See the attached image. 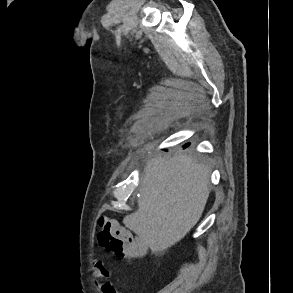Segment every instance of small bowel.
<instances>
[{"label":"small bowel","mask_w":293,"mask_h":293,"mask_svg":"<svg viewBox=\"0 0 293 293\" xmlns=\"http://www.w3.org/2000/svg\"><path fill=\"white\" fill-rule=\"evenodd\" d=\"M93 276L101 281V293H119L110 281V270L100 261H95L93 265Z\"/></svg>","instance_id":"small-bowel-1"}]
</instances>
